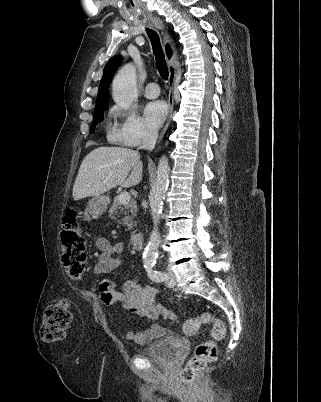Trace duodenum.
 Returning <instances> with one entry per match:
<instances>
[{"instance_id":"1","label":"duodenum","mask_w":321,"mask_h":402,"mask_svg":"<svg viewBox=\"0 0 321 402\" xmlns=\"http://www.w3.org/2000/svg\"><path fill=\"white\" fill-rule=\"evenodd\" d=\"M129 244L135 250H140L143 246V235L140 232L132 233L129 236Z\"/></svg>"}]
</instances>
